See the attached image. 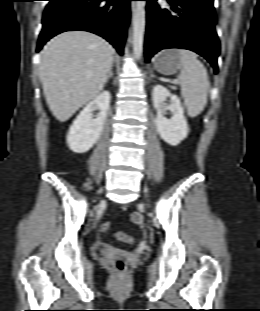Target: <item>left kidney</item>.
Instances as JSON below:
<instances>
[{"label": "left kidney", "instance_id": "left-kidney-1", "mask_svg": "<svg viewBox=\"0 0 260 311\" xmlns=\"http://www.w3.org/2000/svg\"><path fill=\"white\" fill-rule=\"evenodd\" d=\"M168 97L170 98L168 109L172 112L170 119L163 116L164 109L161 107ZM152 100L153 107L157 111L154 122L158 134L166 143L172 146L178 145L187 137L189 132L179 97L171 94L165 87L156 85L152 91Z\"/></svg>", "mask_w": 260, "mask_h": 311}]
</instances>
